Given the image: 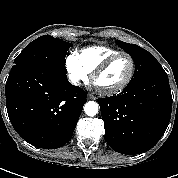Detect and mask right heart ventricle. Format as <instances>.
<instances>
[{
  "label": "right heart ventricle",
  "instance_id": "right-heart-ventricle-1",
  "mask_svg": "<svg viewBox=\"0 0 178 178\" xmlns=\"http://www.w3.org/2000/svg\"><path fill=\"white\" fill-rule=\"evenodd\" d=\"M121 51L107 46H89L83 48L77 55L83 67L92 73L106 58Z\"/></svg>",
  "mask_w": 178,
  "mask_h": 178
}]
</instances>
